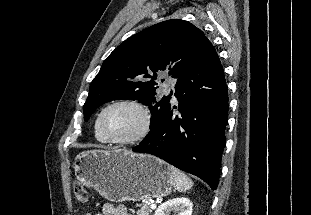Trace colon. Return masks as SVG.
Listing matches in <instances>:
<instances>
[{"label":"colon","mask_w":311,"mask_h":215,"mask_svg":"<svg viewBox=\"0 0 311 215\" xmlns=\"http://www.w3.org/2000/svg\"><path fill=\"white\" fill-rule=\"evenodd\" d=\"M74 198L77 203L83 204L88 199V193L82 185H76L74 187Z\"/></svg>","instance_id":"obj_1"}]
</instances>
